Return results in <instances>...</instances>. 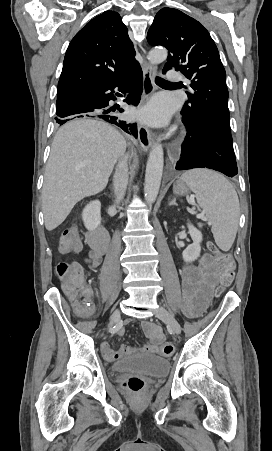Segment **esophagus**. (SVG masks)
<instances>
[{
  "instance_id": "esophagus-1",
  "label": "esophagus",
  "mask_w": 272,
  "mask_h": 451,
  "mask_svg": "<svg viewBox=\"0 0 272 451\" xmlns=\"http://www.w3.org/2000/svg\"><path fill=\"white\" fill-rule=\"evenodd\" d=\"M157 68L155 65H151L146 62L143 67V84H142V95L140 105H144L152 93L156 90L155 76ZM138 140L141 145L142 150L147 151L152 145V132L143 125V123H138Z\"/></svg>"
}]
</instances>
